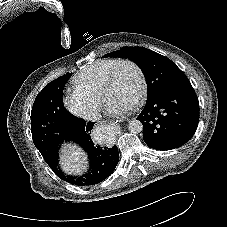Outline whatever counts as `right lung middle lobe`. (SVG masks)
<instances>
[{
  "label": "right lung middle lobe",
  "instance_id": "1",
  "mask_svg": "<svg viewBox=\"0 0 227 227\" xmlns=\"http://www.w3.org/2000/svg\"><path fill=\"white\" fill-rule=\"evenodd\" d=\"M71 75H63L47 84L34 101L31 110L32 139L42 156L50 152L57 134L73 117L62 102L63 89Z\"/></svg>",
  "mask_w": 227,
  "mask_h": 227
}]
</instances>
